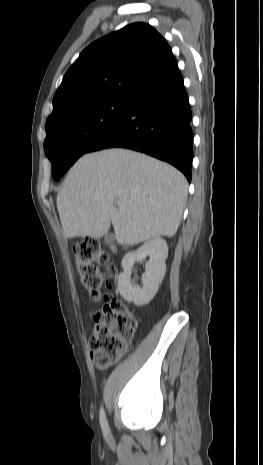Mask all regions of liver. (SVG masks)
Returning <instances> with one entry per match:
<instances>
[{
    "label": "liver",
    "mask_w": 263,
    "mask_h": 465,
    "mask_svg": "<svg viewBox=\"0 0 263 465\" xmlns=\"http://www.w3.org/2000/svg\"><path fill=\"white\" fill-rule=\"evenodd\" d=\"M184 175L147 155L108 149L82 156L57 196L66 238H100L112 223L119 245L173 237L187 198ZM121 202L122 208L115 203Z\"/></svg>",
    "instance_id": "obj_1"
}]
</instances>
